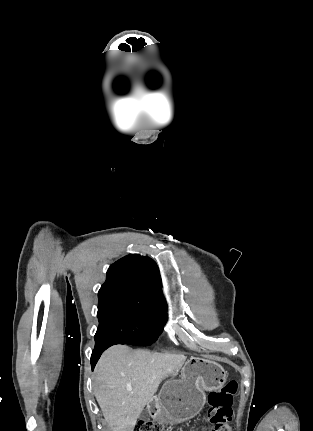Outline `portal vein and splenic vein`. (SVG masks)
<instances>
[{
    "label": "portal vein and splenic vein",
    "instance_id": "obj_1",
    "mask_svg": "<svg viewBox=\"0 0 313 431\" xmlns=\"http://www.w3.org/2000/svg\"><path fill=\"white\" fill-rule=\"evenodd\" d=\"M127 390H128V391H132V387H131V386H128V387H127Z\"/></svg>",
    "mask_w": 313,
    "mask_h": 431
}]
</instances>
